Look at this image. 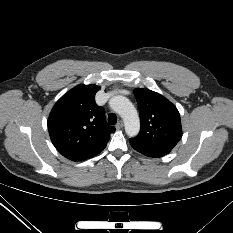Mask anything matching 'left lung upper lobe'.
Listing matches in <instances>:
<instances>
[{
    "label": "left lung upper lobe",
    "mask_w": 233,
    "mask_h": 233,
    "mask_svg": "<svg viewBox=\"0 0 233 233\" xmlns=\"http://www.w3.org/2000/svg\"><path fill=\"white\" fill-rule=\"evenodd\" d=\"M141 129L130 141L142 150L162 157L174 148L182 136L180 114L164 96L148 90L135 89Z\"/></svg>",
    "instance_id": "left-lung-upper-lobe-1"
}]
</instances>
